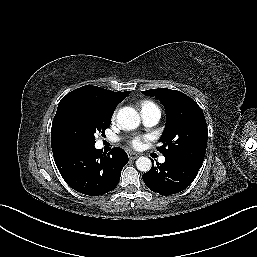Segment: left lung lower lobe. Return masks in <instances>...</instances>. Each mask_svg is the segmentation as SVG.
Instances as JSON below:
<instances>
[{"label":"left lung lower lobe","instance_id":"0a47b994","mask_svg":"<svg viewBox=\"0 0 257 257\" xmlns=\"http://www.w3.org/2000/svg\"><path fill=\"white\" fill-rule=\"evenodd\" d=\"M202 163L188 157L165 156L163 164L152 165L142 178L153 192L171 195L186 189L194 181Z\"/></svg>","mask_w":257,"mask_h":257}]
</instances>
